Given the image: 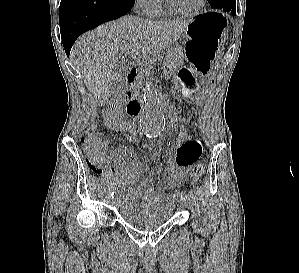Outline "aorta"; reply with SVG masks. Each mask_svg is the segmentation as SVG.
<instances>
[{"label": "aorta", "instance_id": "aorta-1", "mask_svg": "<svg viewBox=\"0 0 299 273\" xmlns=\"http://www.w3.org/2000/svg\"><path fill=\"white\" fill-rule=\"evenodd\" d=\"M140 127L148 137H156L165 127V118L156 88L150 83L144 93V105L140 115Z\"/></svg>", "mask_w": 299, "mask_h": 273}]
</instances>
